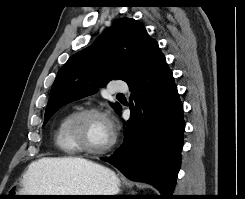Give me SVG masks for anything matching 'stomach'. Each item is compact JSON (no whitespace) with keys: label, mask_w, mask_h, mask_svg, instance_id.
<instances>
[{"label":"stomach","mask_w":245,"mask_h":199,"mask_svg":"<svg viewBox=\"0 0 245 199\" xmlns=\"http://www.w3.org/2000/svg\"><path fill=\"white\" fill-rule=\"evenodd\" d=\"M120 186L121 181L113 171L94 163L91 166H75L66 173L47 175L42 188L37 191L28 189L22 179V185L16 187L13 193L14 195H117ZM76 198L97 197H41V199Z\"/></svg>","instance_id":"1"}]
</instances>
